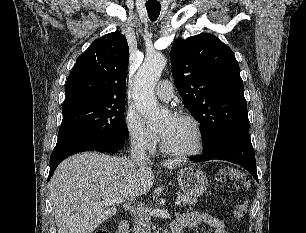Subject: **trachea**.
I'll list each match as a JSON object with an SVG mask.
<instances>
[{
    "mask_svg": "<svg viewBox=\"0 0 306 233\" xmlns=\"http://www.w3.org/2000/svg\"><path fill=\"white\" fill-rule=\"evenodd\" d=\"M146 9L150 20L155 21L160 14L161 6L160 4H146Z\"/></svg>",
    "mask_w": 306,
    "mask_h": 233,
    "instance_id": "obj_1",
    "label": "trachea"
}]
</instances>
